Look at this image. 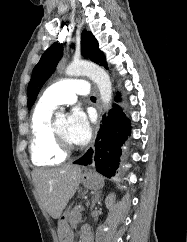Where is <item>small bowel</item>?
<instances>
[{"label":"small bowel","mask_w":187,"mask_h":242,"mask_svg":"<svg viewBox=\"0 0 187 242\" xmlns=\"http://www.w3.org/2000/svg\"><path fill=\"white\" fill-rule=\"evenodd\" d=\"M82 235H89V236H91V233H90V230H89L88 227H84L82 229Z\"/></svg>","instance_id":"c3829d8e"}]
</instances>
